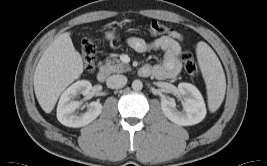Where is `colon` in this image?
Returning <instances> with one entry per match:
<instances>
[{"label": "colon", "mask_w": 267, "mask_h": 166, "mask_svg": "<svg viewBox=\"0 0 267 166\" xmlns=\"http://www.w3.org/2000/svg\"><path fill=\"white\" fill-rule=\"evenodd\" d=\"M152 35H163L169 32V28L159 20L151 21L148 29ZM81 53L83 59V65L86 71L91 72L95 68L96 64V45L90 38H85L81 43ZM181 60L184 64V68L187 74L191 76H198L199 68L197 63L193 60L189 52H184L181 55Z\"/></svg>", "instance_id": "obj_1"}]
</instances>
